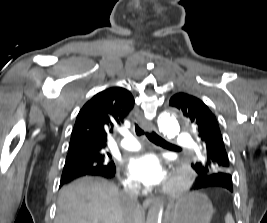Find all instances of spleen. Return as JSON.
I'll return each instance as SVG.
<instances>
[{"mask_svg":"<svg viewBox=\"0 0 267 223\" xmlns=\"http://www.w3.org/2000/svg\"><path fill=\"white\" fill-rule=\"evenodd\" d=\"M225 223H235L231 214L227 213L225 216Z\"/></svg>","mask_w":267,"mask_h":223,"instance_id":"3e777b00","label":"spleen"}]
</instances>
